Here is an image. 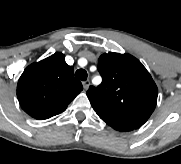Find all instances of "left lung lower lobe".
<instances>
[{
    "label": "left lung lower lobe",
    "mask_w": 181,
    "mask_h": 164,
    "mask_svg": "<svg viewBox=\"0 0 181 164\" xmlns=\"http://www.w3.org/2000/svg\"><path fill=\"white\" fill-rule=\"evenodd\" d=\"M105 122L108 125H110L112 128H114L115 130H118V131H132V130L136 129V128H133L131 126L117 123V122H109V121H105Z\"/></svg>",
    "instance_id": "0a47b994"
}]
</instances>
